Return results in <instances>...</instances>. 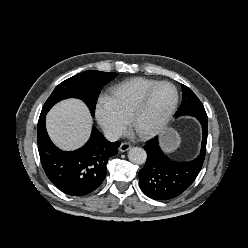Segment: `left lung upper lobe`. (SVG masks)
<instances>
[{
    "instance_id": "left-lung-upper-lobe-1",
    "label": "left lung upper lobe",
    "mask_w": 248,
    "mask_h": 248,
    "mask_svg": "<svg viewBox=\"0 0 248 248\" xmlns=\"http://www.w3.org/2000/svg\"><path fill=\"white\" fill-rule=\"evenodd\" d=\"M182 104L177 112V117L182 115H191V116H206V112L203 104L193 93V91L187 86L182 84Z\"/></svg>"
}]
</instances>
